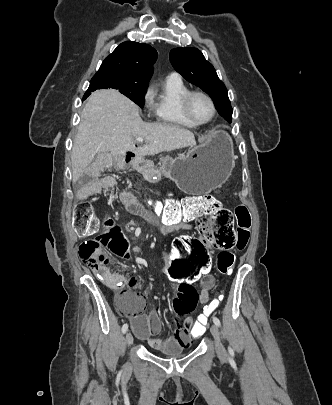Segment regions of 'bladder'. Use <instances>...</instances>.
I'll use <instances>...</instances> for the list:
<instances>
[{
	"label": "bladder",
	"mask_w": 332,
	"mask_h": 405,
	"mask_svg": "<svg viewBox=\"0 0 332 405\" xmlns=\"http://www.w3.org/2000/svg\"><path fill=\"white\" fill-rule=\"evenodd\" d=\"M159 352L162 355L168 356V357H177V356H181L183 354V351L180 348H170V349L162 350Z\"/></svg>",
	"instance_id": "obj_1"
}]
</instances>
